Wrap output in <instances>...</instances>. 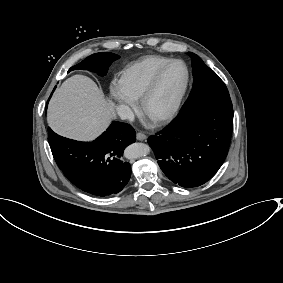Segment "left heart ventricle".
<instances>
[{"label":"left heart ventricle","mask_w":283,"mask_h":283,"mask_svg":"<svg viewBox=\"0 0 283 283\" xmlns=\"http://www.w3.org/2000/svg\"><path fill=\"white\" fill-rule=\"evenodd\" d=\"M186 78L182 64L170 66L158 81L155 92L146 106V115L155 118L167 112L181 91Z\"/></svg>","instance_id":"left-heart-ventricle-1"}]
</instances>
